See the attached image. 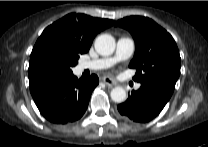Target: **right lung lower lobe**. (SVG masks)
Here are the masks:
<instances>
[{"mask_svg": "<svg viewBox=\"0 0 208 147\" xmlns=\"http://www.w3.org/2000/svg\"><path fill=\"white\" fill-rule=\"evenodd\" d=\"M99 79L91 75L78 80L73 73L42 78L30 84V92L41 114L50 122H74L85 113Z\"/></svg>", "mask_w": 208, "mask_h": 147, "instance_id": "1", "label": "right lung lower lobe"}]
</instances>
